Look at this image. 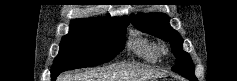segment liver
Listing matches in <instances>:
<instances>
[{"instance_id": "1", "label": "liver", "mask_w": 237, "mask_h": 81, "mask_svg": "<svg viewBox=\"0 0 237 81\" xmlns=\"http://www.w3.org/2000/svg\"><path fill=\"white\" fill-rule=\"evenodd\" d=\"M155 70L131 65L81 69L66 72L60 81H147L159 77Z\"/></svg>"}]
</instances>
